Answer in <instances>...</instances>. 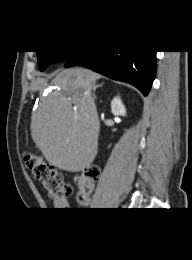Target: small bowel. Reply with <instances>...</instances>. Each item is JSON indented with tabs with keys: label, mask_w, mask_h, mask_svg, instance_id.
I'll return each mask as SVG.
<instances>
[{
	"label": "small bowel",
	"mask_w": 192,
	"mask_h": 260,
	"mask_svg": "<svg viewBox=\"0 0 192 260\" xmlns=\"http://www.w3.org/2000/svg\"><path fill=\"white\" fill-rule=\"evenodd\" d=\"M55 210H67L70 208V202L68 199L56 200L53 203Z\"/></svg>",
	"instance_id": "small-bowel-1"
}]
</instances>
